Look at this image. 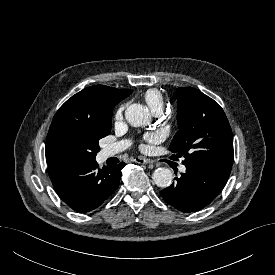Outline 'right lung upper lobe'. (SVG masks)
I'll return each instance as SVG.
<instances>
[{
  "label": "right lung upper lobe",
  "instance_id": "1",
  "mask_svg": "<svg viewBox=\"0 0 275 275\" xmlns=\"http://www.w3.org/2000/svg\"><path fill=\"white\" fill-rule=\"evenodd\" d=\"M131 89H116L104 85L87 87L68 99L55 114L47 140L65 124H102L112 118L116 104L128 97Z\"/></svg>",
  "mask_w": 275,
  "mask_h": 275
}]
</instances>
